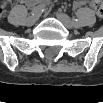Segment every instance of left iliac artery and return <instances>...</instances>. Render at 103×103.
Listing matches in <instances>:
<instances>
[{
	"label": "left iliac artery",
	"instance_id": "left-iliac-artery-1",
	"mask_svg": "<svg viewBox=\"0 0 103 103\" xmlns=\"http://www.w3.org/2000/svg\"><path fill=\"white\" fill-rule=\"evenodd\" d=\"M73 23H74L75 25H78V24H79V20L76 19V18H73Z\"/></svg>",
	"mask_w": 103,
	"mask_h": 103
}]
</instances>
